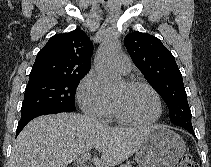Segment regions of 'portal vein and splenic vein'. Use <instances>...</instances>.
<instances>
[{"instance_id": "portal-vein-and-splenic-vein-1", "label": "portal vein and splenic vein", "mask_w": 211, "mask_h": 167, "mask_svg": "<svg viewBox=\"0 0 211 167\" xmlns=\"http://www.w3.org/2000/svg\"><path fill=\"white\" fill-rule=\"evenodd\" d=\"M91 154L89 153H86L84 155H82L78 160H77V163L80 164L81 167H87L84 164L85 161H87L89 158H90Z\"/></svg>"}]
</instances>
